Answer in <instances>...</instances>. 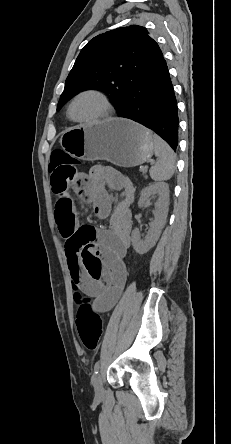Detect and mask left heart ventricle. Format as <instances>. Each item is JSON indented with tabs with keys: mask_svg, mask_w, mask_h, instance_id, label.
Here are the masks:
<instances>
[{
	"mask_svg": "<svg viewBox=\"0 0 231 444\" xmlns=\"http://www.w3.org/2000/svg\"><path fill=\"white\" fill-rule=\"evenodd\" d=\"M104 110L103 102L93 94L79 97L72 108L73 116L77 119H92Z\"/></svg>",
	"mask_w": 231,
	"mask_h": 444,
	"instance_id": "b2bd125f",
	"label": "left heart ventricle"
}]
</instances>
